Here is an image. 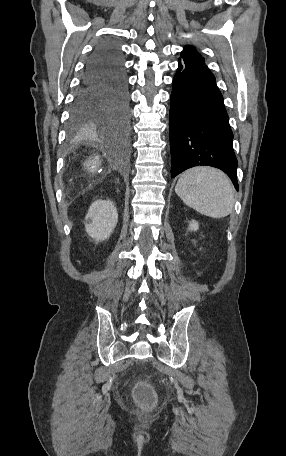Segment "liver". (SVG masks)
<instances>
[{"instance_id":"6515ba94","label":"liver","mask_w":286,"mask_h":456,"mask_svg":"<svg viewBox=\"0 0 286 456\" xmlns=\"http://www.w3.org/2000/svg\"><path fill=\"white\" fill-rule=\"evenodd\" d=\"M100 164L101 161L99 156H95L94 158H90L88 161H86L84 163V167L89 173L94 174L97 172V169L99 168Z\"/></svg>"}]
</instances>
